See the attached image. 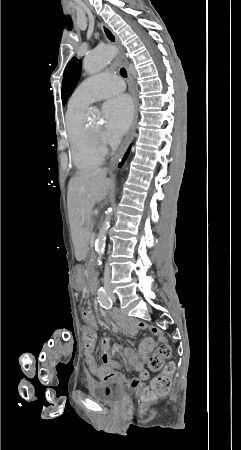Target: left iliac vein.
Segmentation results:
<instances>
[{"instance_id":"obj_1","label":"left iliac vein","mask_w":241,"mask_h":450,"mask_svg":"<svg viewBox=\"0 0 241 450\" xmlns=\"http://www.w3.org/2000/svg\"><path fill=\"white\" fill-rule=\"evenodd\" d=\"M112 300L115 301V300H116V297H115V296H112Z\"/></svg>"}]
</instances>
